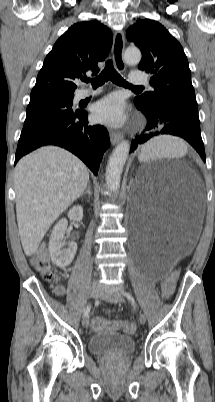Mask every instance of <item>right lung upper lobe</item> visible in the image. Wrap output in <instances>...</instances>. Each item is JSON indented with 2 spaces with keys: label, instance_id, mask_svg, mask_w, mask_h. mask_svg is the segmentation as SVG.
<instances>
[{
  "label": "right lung upper lobe",
  "instance_id": "cb5924a9",
  "mask_svg": "<svg viewBox=\"0 0 215 402\" xmlns=\"http://www.w3.org/2000/svg\"><path fill=\"white\" fill-rule=\"evenodd\" d=\"M112 41L111 31L99 21L72 25L46 56L30 100L48 96L73 97L74 80L88 71L99 72L97 63L107 57Z\"/></svg>",
  "mask_w": 215,
  "mask_h": 402
}]
</instances>
